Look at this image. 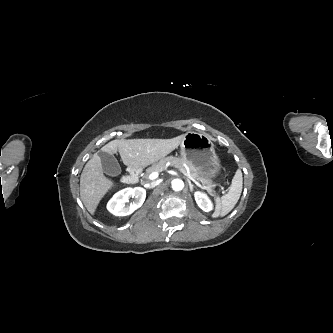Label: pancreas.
I'll list each match as a JSON object with an SVG mask.
<instances>
[{
    "label": "pancreas",
    "mask_w": 333,
    "mask_h": 333,
    "mask_svg": "<svg viewBox=\"0 0 333 333\" xmlns=\"http://www.w3.org/2000/svg\"><path fill=\"white\" fill-rule=\"evenodd\" d=\"M184 163H187V162L183 158H178V157H173V156L162 158L146 170L144 177L148 178V176L152 172H162L165 170V168L168 165L174 166L179 169H183ZM190 171H191V176L196 181L201 182L203 186L208 187L210 189V193L214 192V188H215L216 184H214L210 178L205 177L199 171H197L193 168H190Z\"/></svg>",
    "instance_id": "cf45deb5"
}]
</instances>
